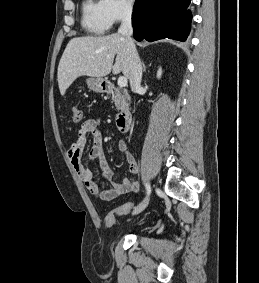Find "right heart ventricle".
I'll return each mask as SVG.
<instances>
[{"mask_svg":"<svg viewBox=\"0 0 259 283\" xmlns=\"http://www.w3.org/2000/svg\"><path fill=\"white\" fill-rule=\"evenodd\" d=\"M82 24L88 32L95 35H104L110 30L111 23L105 15L100 0H85Z\"/></svg>","mask_w":259,"mask_h":283,"instance_id":"obj_1","label":"right heart ventricle"}]
</instances>
